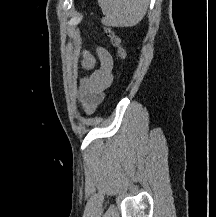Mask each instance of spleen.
Here are the masks:
<instances>
[{"mask_svg":"<svg viewBox=\"0 0 216 217\" xmlns=\"http://www.w3.org/2000/svg\"><path fill=\"white\" fill-rule=\"evenodd\" d=\"M104 14L102 22L113 27H132L148 9L149 0H98Z\"/></svg>","mask_w":216,"mask_h":217,"instance_id":"3e777b00","label":"spleen"}]
</instances>
